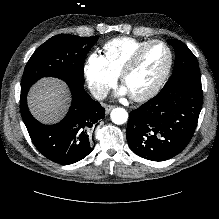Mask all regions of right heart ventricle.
I'll return each instance as SVG.
<instances>
[{
	"instance_id": "e07e8e85",
	"label": "right heart ventricle",
	"mask_w": 219,
	"mask_h": 219,
	"mask_svg": "<svg viewBox=\"0 0 219 219\" xmlns=\"http://www.w3.org/2000/svg\"><path fill=\"white\" fill-rule=\"evenodd\" d=\"M150 40L132 37H117L104 44V58L110 69L118 75L131 55Z\"/></svg>"
}]
</instances>
